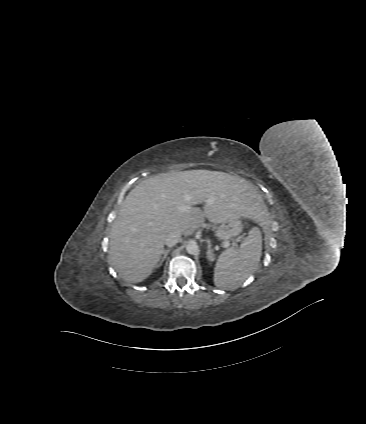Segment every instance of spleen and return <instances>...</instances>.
<instances>
[{"label":"spleen","mask_w":366,"mask_h":424,"mask_svg":"<svg viewBox=\"0 0 366 424\" xmlns=\"http://www.w3.org/2000/svg\"><path fill=\"white\" fill-rule=\"evenodd\" d=\"M262 254V236L254 227L238 249L228 248L219 256L213 281L217 287L233 290L256 270Z\"/></svg>","instance_id":"1"}]
</instances>
